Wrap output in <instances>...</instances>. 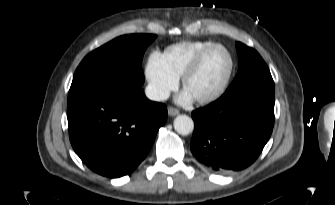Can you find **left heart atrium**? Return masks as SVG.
Masks as SVG:
<instances>
[{
    "label": "left heart atrium",
    "instance_id": "obj_1",
    "mask_svg": "<svg viewBox=\"0 0 335 205\" xmlns=\"http://www.w3.org/2000/svg\"><path fill=\"white\" fill-rule=\"evenodd\" d=\"M192 99L193 97L186 90L182 93L180 97V100L182 102H190Z\"/></svg>",
    "mask_w": 335,
    "mask_h": 205
}]
</instances>
